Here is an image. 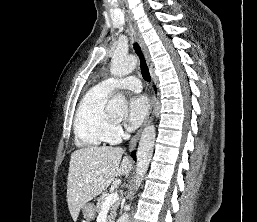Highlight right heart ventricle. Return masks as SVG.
<instances>
[{
    "label": "right heart ventricle",
    "mask_w": 257,
    "mask_h": 222,
    "mask_svg": "<svg viewBox=\"0 0 257 222\" xmlns=\"http://www.w3.org/2000/svg\"><path fill=\"white\" fill-rule=\"evenodd\" d=\"M110 93L96 86L82 98L74 119L76 144L84 148H97L108 140L112 124L106 112Z\"/></svg>",
    "instance_id": "e07e8e85"
}]
</instances>
